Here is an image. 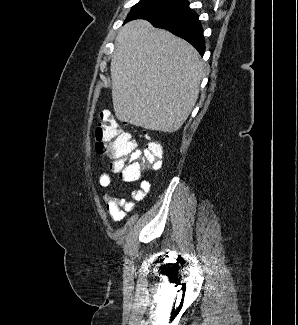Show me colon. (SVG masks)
<instances>
[{
	"label": "colon",
	"mask_w": 298,
	"mask_h": 325,
	"mask_svg": "<svg viewBox=\"0 0 298 325\" xmlns=\"http://www.w3.org/2000/svg\"><path fill=\"white\" fill-rule=\"evenodd\" d=\"M97 152L105 156L111 168L127 181L139 179L147 172L157 171L162 165V150L150 143L146 153L137 148L132 135L124 131L111 111L102 112L95 130Z\"/></svg>",
	"instance_id": "colon-1"
}]
</instances>
